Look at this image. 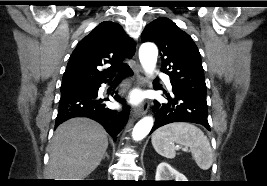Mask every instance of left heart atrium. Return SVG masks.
Here are the masks:
<instances>
[{"label": "left heart atrium", "mask_w": 267, "mask_h": 186, "mask_svg": "<svg viewBox=\"0 0 267 186\" xmlns=\"http://www.w3.org/2000/svg\"><path fill=\"white\" fill-rule=\"evenodd\" d=\"M132 101H133V102L138 101V96H137V95H133V96H132Z\"/></svg>", "instance_id": "1"}]
</instances>
